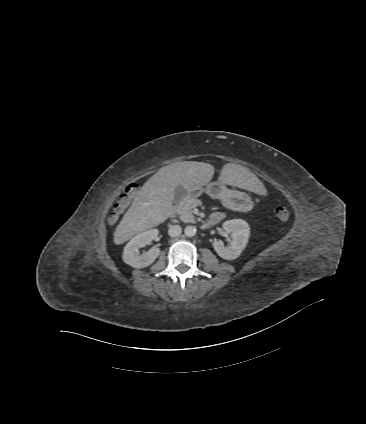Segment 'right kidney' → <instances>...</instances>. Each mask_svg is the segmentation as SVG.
Masks as SVG:
<instances>
[{
	"instance_id": "1",
	"label": "right kidney",
	"mask_w": 366,
	"mask_h": 424,
	"mask_svg": "<svg viewBox=\"0 0 366 424\" xmlns=\"http://www.w3.org/2000/svg\"><path fill=\"white\" fill-rule=\"evenodd\" d=\"M158 233L159 231L157 229H150L133 237L124 247L123 261L134 268H144L151 265L159 256L160 249L154 246L141 255L139 248L151 244Z\"/></svg>"
}]
</instances>
